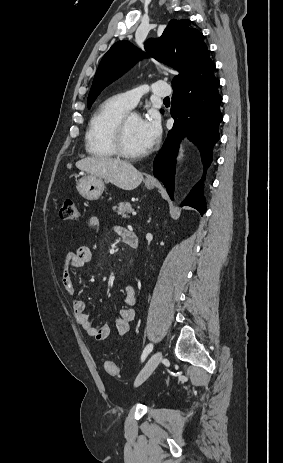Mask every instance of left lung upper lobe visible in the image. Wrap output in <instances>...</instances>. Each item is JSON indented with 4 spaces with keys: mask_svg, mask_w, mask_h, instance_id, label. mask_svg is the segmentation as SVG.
Here are the masks:
<instances>
[{
    "mask_svg": "<svg viewBox=\"0 0 283 463\" xmlns=\"http://www.w3.org/2000/svg\"><path fill=\"white\" fill-rule=\"evenodd\" d=\"M190 23V20H171L160 38L149 39L145 43V50L149 56L180 72L174 77L173 86L186 79L196 68L211 60L203 34L197 29L190 28ZM144 56L146 54L129 41L116 42L103 56L98 66L88 95V107L90 108L107 85Z\"/></svg>",
    "mask_w": 283,
    "mask_h": 463,
    "instance_id": "obj_1",
    "label": "left lung upper lobe"
}]
</instances>
